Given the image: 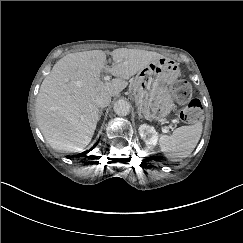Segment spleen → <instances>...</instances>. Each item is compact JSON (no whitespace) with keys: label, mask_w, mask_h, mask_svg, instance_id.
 Returning <instances> with one entry per match:
<instances>
[{"label":"spleen","mask_w":243,"mask_h":243,"mask_svg":"<svg viewBox=\"0 0 243 243\" xmlns=\"http://www.w3.org/2000/svg\"><path fill=\"white\" fill-rule=\"evenodd\" d=\"M202 123L181 126L171 136L162 135L159 140L161 151L169 158L187 157L196 147L201 134Z\"/></svg>","instance_id":"obj_1"}]
</instances>
